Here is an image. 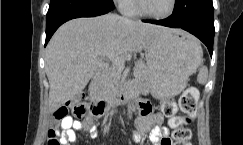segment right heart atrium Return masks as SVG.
Wrapping results in <instances>:
<instances>
[{"label":"right heart atrium","instance_id":"1","mask_svg":"<svg viewBox=\"0 0 243 145\" xmlns=\"http://www.w3.org/2000/svg\"><path fill=\"white\" fill-rule=\"evenodd\" d=\"M121 8H125L131 0H114Z\"/></svg>","mask_w":243,"mask_h":145}]
</instances>
